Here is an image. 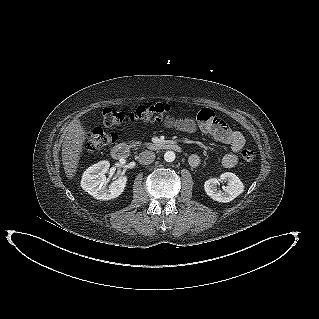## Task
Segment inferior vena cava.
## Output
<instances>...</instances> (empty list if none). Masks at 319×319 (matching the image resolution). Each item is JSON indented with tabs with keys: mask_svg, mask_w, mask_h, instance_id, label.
I'll return each mask as SVG.
<instances>
[{
	"mask_svg": "<svg viewBox=\"0 0 319 319\" xmlns=\"http://www.w3.org/2000/svg\"><path fill=\"white\" fill-rule=\"evenodd\" d=\"M155 153L152 151H143L139 154L138 161L140 164L149 165L155 160Z\"/></svg>",
	"mask_w": 319,
	"mask_h": 319,
	"instance_id": "1",
	"label": "inferior vena cava"
}]
</instances>
